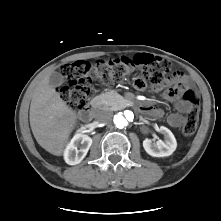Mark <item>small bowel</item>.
<instances>
[{"instance_id":"obj_1","label":"small bowel","mask_w":221,"mask_h":221,"mask_svg":"<svg viewBox=\"0 0 221 221\" xmlns=\"http://www.w3.org/2000/svg\"><path fill=\"white\" fill-rule=\"evenodd\" d=\"M137 82V81H136ZM181 86V90L177 86ZM190 85L189 79L182 72H174L167 83V88L162 91L160 87L155 88L156 92L162 91V97L174 103L177 113L170 114L167 118L168 123L175 128L181 127L185 123L184 115L190 110V104L182 98V89L188 88ZM144 110L154 117L162 116L161 109L154 107H145Z\"/></svg>"}]
</instances>
